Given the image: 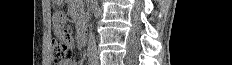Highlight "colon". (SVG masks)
I'll return each instance as SVG.
<instances>
[{
	"label": "colon",
	"instance_id": "5ec220e1",
	"mask_svg": "<svg viewBox=\"0 0 232 65\" xmlns=\"http://www.w3.org/2000/svg\"><path fill=\"white\" fill-rule=\"evenodd\" d=\"M73 55L72 37H59L53 42V61L62 65L69 62Z\"/></svg>",
	"mask_w": 232,
	"mask_h": 65
}]
</instances>
